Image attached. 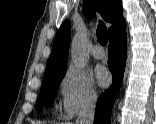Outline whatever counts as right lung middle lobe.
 <instances>
[{"mask_svg":"<svg viewBox=\"0 0 156 124\" xmlns=\"http://www.w3.org/2000/svg\"><path fill=\"white\" fill-rule=\"evenodd\" d=\"M64 75L65 72H62L54 76L44 78V84L37 98V111H40L43 107L47 108L53 103L59 84Z\"/></svg>","mask_w":156,"mask_h":124,"instance_id":"obj_1","label":"right lung middle lobe"}]
</instances>
